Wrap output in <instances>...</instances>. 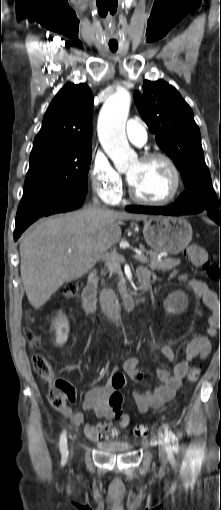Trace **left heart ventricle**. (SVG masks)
Returning <instances> with one entry per match:
<instances>
[{
  "instance_id": "left-heart-ventricle-1",
  "label": "left heart ventricle",
  "mask_w": 221,
  "mask_h": 510,
  "mask_svg": "<svg viewBox=\"0 0 221 510\" xmlns=\"http://www.w3.org/2000/svg\"><path fill=\"white\" fill-rule=\"evenodd\" d=\"M135 192L146 199L167 197L173 188V174L168 165L159 159L142 162L136 160L127 171Z\"/></svg>"
}]
</instances>
